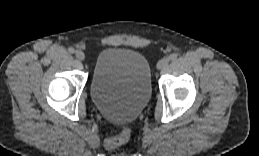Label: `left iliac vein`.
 <instances>
[{
	"label": "left iliac vein",
	"mask_w": 259,
	"mask_h": 156,
	"mask_svg": "<svg viewBox=\"0 0 259 156\" xmlns=\"http://www.w3.org/2000/svg\"><path fill=\"white\" fill-rule=\"evenodd\" d=\"M168 63H169V59L167 57H164L161 60H159V62L157 63V68L159 70L164 69L165 67H167Z\"/></svg>",
	"instance_id": "1"
}]
</instances>
